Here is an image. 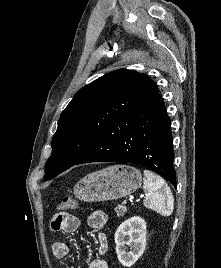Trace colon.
<instances>
[{"instance_id": "1", "label": "colon", "mask_w": 221, "mask_h": 268, "mask_svg": "<svg viewBox=\"0 0 221 268\" xmlns=\"http://www.w3.org/2000/svg\"><path fill=\"white\" fill-rule=\"evenodd\" d=\"M77 206V200L72 197H64L58 205V209L63 213L65 210L74 209Z\"/></svg>"}]
</instances>
